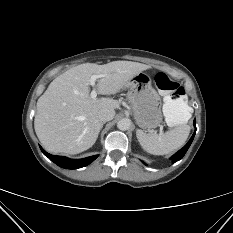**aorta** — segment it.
Here are the masks:
<instances>
[{
  "instance_id": "aorta-1",
  "label": "aorta",
  "mask_w": 233,
  "mask_h": 233,
  "mask_svg": "<svg viewBox=\"0 0 233 233\" xmlns=\"http://www.w3.org/2000/svg\"><path fill=\"white\" fill-rule=\"evenodd\" d=\"M131 126V120L128 118L120 119L117 123V127L119 130L126 131Z\"/></svg>"
}]
</instances>
